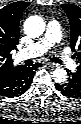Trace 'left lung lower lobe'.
Here are the masks:
<instances>
[{
    "label": "left lung lower lobe",
    "instance_id": "0a47b994",
    "mask_svg": "<svg viewBox=\"0 0 81 124\" xmlns=\"http://www.w3.org/2000/svg\"><path fill=\"white\" fill-rule=\"evenodd\" d=\"M70 78L67 83L55 84L56 89L68 98L81 97V72L69 73Z\"/></svg>",
    "mask_w": 81,
    "mask_h": 124
}]
</instances>
